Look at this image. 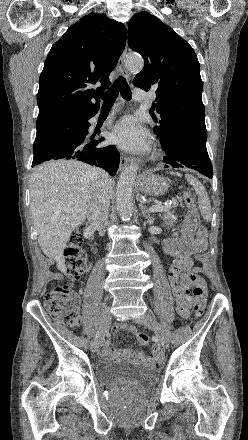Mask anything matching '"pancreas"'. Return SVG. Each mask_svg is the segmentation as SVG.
<instances>
[{"label":"pancreas","instance_id":"1","mask_svg":"<svg viewBox=\"0 0 248 440\" xmlns=\"http://www.w3.org/2000/svg\"><path fill=\"white\" fill-rule=\"evenodd\" d=\"M170 209L159 214V217L164 221L162 224L163 227H172L174 223L178 222V217L174 215V210H172V206H169Z\"/></svg>","mask_w":248,"mask_h":440}]
</instances>
